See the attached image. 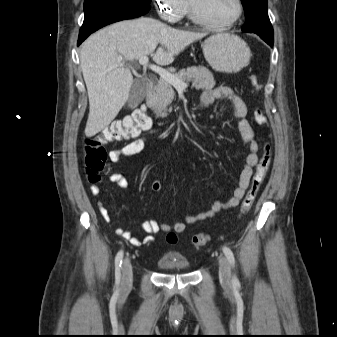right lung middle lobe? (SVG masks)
Returning a JSON list of instances; mask_svg holds the SVG:
<instances>
[{"mask_svg":"<svg viewBox=\"0 0 337 337\" xmlns=\"http://www.w3.org/2000/svg\"><path fill=\"white\" fill-rule=\"evenodd\" d=\"M106 1H119V2L136 5V6H149L151 2V0H85L84 11H86L88 8H90L93 5H96L101 2H106Z\"/></svg>","mask_w":337,"mask_h":337,"instance_id":"1","label":"right lung middle lobe"}]
</instances>
